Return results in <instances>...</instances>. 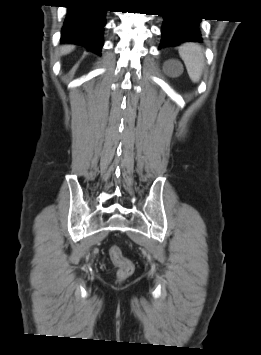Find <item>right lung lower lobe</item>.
Listing matches in <instances>:
<instances>
[{"instance_id":"1","label":"right lung lower lobe","mask_w":261,"mask_h":355,"mask_svg":"<svg viewBox=\"0 0 261 355\" xmlns=\"http://www.w3.org/2000/svg\"><path fill=\"white\" fill-rule=\"evenodd\" d=\"M105 12L98 0H78L76 4L68 6L61 41L80 44L100 54L103 26L106 24Z\"/></svg>"}]
</instances>
